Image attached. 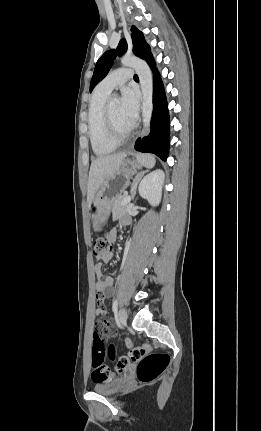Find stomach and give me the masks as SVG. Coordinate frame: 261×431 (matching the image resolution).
<instances>
[{
	"label": "stomach",
	"mask_w": 261,
	"mask_h": 431,
	"mask_svg": "<svg viewBox=\"0 0 261 431\" xmlns=\"http://www.w3.org/2000/svg\"><path fill=\"white\" fill-rule=\"evenodd\" d=\"M141 165L143 164L139 158L138 160L124 159L118 172L100 187L94 199L96 213L93 215V228L95 231L102 229L114 199L128 187L131 177L137 173Z\"/></svg>",
	"instance_id": "1"
}]
</instances>
